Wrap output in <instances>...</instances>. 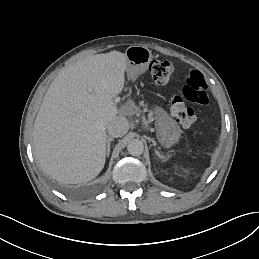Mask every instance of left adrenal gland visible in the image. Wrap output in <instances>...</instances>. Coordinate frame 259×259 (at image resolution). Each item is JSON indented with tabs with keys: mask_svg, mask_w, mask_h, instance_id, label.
Segmentation results:
<instances>
[{
	"mask_svg": "<svg viewBox=\"0 0 259 259\" xmlns=\"http://www.w3.org/2000/svg\"><path fill=\"white\" fill-rule=\"evenodd\" d=\"M155 154H156L160 159H163V161H167V158H165L163 155H161V154L159 153V151L156 150V149H155ZM167 157L169 158L170 156L167 155Z\"/></svg>",
	"mask_w": 259,
	"mask_h": 259,
	"instance_id": "left-adrenal-gland-1",
	"label": "left adrenal gland"
}]
</instances>
